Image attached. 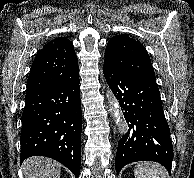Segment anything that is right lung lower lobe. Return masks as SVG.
Instances as JSON below:
<instances>
[{
  "instance_id": "98d812e1",
  "label": "right lung lower lobe",
  "mask_w": 194,
  "mask_h": 178,
  "mask_svg": "<svg viewBox=\"0 0 194 178\" xmlns=\"http://www.w3.org/2000/svg\"><path fill=\"white\" fill-rule=\"evenodd\" d=\"M81 130L79 74L65 82L26 91L20 162L30 156L50 157L78 178Z\"/></svg>"
}]
</instances>
